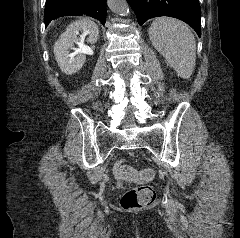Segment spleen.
Here are the masks:
<instances>
[{"label":"spleen","mask_w":240,"mask_h":238,"mask_svg":"<svg viewBox=\"0 0 240 238\" xmlns=\"http://www.w3.org/2000/svg\"><path fill=\"white\" fill-rule=\"evenodd\" d=\"M149 38L181 78H189L196 62V42L193 33L183 22L156 18L149 28Z\"/></svg>","instance_id":"3e777b00"}]
</instances>
